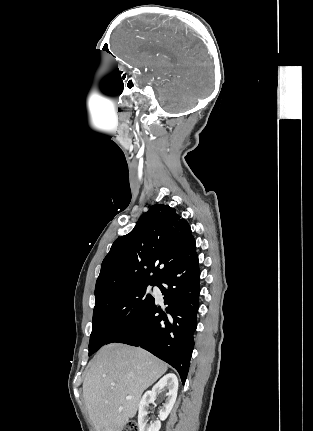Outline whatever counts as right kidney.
<instances>
[{"mask_svg": "<svg viewBox=\"0 0 313 431\" xmlns=\"http://www.w3.org/2000/svg\"><path fill=\"white\" fill-rule=\"evenodd\" d=\"M165 391V403L159 412L160 420L147 424V415L149 405L154 402L157 393ZM178 391V380L177 377L172 374H166L163 376L152 388L151 391H147L139 404L138 412V426L139 431H159L161 428V421L165 420L170 414L174 403L177 398Z\"/></svg>", "mask_w": 313, "mask_h": 431, "instance_id": "ca27d5eb", "label": "right kidney"}]
</instances>
